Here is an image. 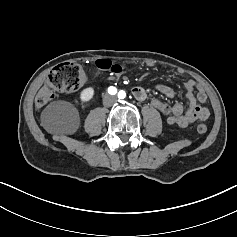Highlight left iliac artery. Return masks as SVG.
<instances>
[{
	"label": "left iliac artery",
	"instance_id": "left-iliac-artery-1",
	"mask_svg": "<svg viewBox=\"0 0 237 237\" xmlns=\"http://www.w3.org/2000/svg\"><path fill=\"white\" fill-rule=\"evenodd\" d=\"M125 96H126V93H125V91H123V90H121V91L118 93V97L121 98V99L125 98Z\"/></svg>",
	"mask_w": 237,
	"mask_h": 237
}]
</instances>
